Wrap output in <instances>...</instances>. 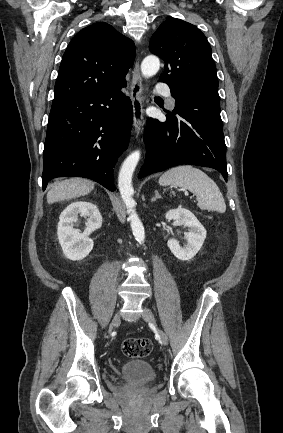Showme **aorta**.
Returning a JSON list of instances; mask_svg holds the SVG:
<instances>
[{
  "instance_id": "1",
  "label": "aorta",
  "mask_w": 283,
  "mask_h": 433,
  "mask_svg": "<svg viewBox=\"0 0 283 433\" xmlns=\"http://www.w3.org/2000/svg\"><path fill=\"white\" fill-rule=\"evenodd\" d=\"M160 68V61L154 55H149L144 58L141 63V73L145 78L154 76ZM140 159V151L132 152L123 162L119 176L118 188L121 198L127 208L129 214L131 229L135 239L142 243L145 239L144 227L135 210V200L132 195L134 188L132 185V175Z\"/></svg>"
}]
</instances>
